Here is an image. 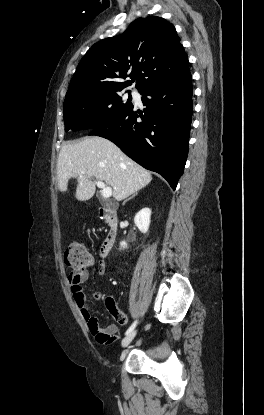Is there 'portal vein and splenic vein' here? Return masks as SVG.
<instances>
[{
    "mask_svg": "<svg viewBox=\"0 0 264 415\" xmlns=\"http://www.w3.org/2000/svg\"><path fill=\"white\" fill-rule=\"evenodd\" d=\"M80 174L81 175L84 174V171H80ZM96 185L98 188L101 189L103 198L108 199L112 196V189L108 185H106L104 182L96 181Z\"/></svg>",
    "mask_w": 264,
    "mask_h": 415,
    "instance_id": "1",
    "label": "portal vein and splenic vein"
}]
</instances>
